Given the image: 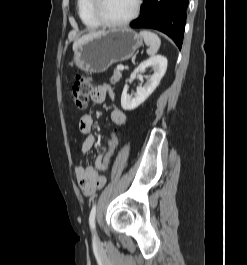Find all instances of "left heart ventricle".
<instances>
[{
	"label": "left heart ventricle",
	"instance_id": "1",
	"mask_svg": "<svg viewBox=\"0 0 247 265\" xmlns=\"http://www.w3.org/2000/svg\"><path fill=\"white\" fill-rule=\"evenodd\" d=\"M136 0H103L101 11L111 21H121L131 15Z\"/></svg>",
	"mask_w": 247,
	"mask_h": 265
}]
</instances>
